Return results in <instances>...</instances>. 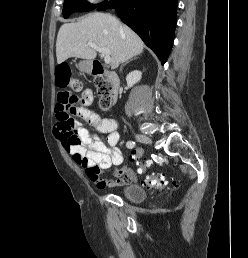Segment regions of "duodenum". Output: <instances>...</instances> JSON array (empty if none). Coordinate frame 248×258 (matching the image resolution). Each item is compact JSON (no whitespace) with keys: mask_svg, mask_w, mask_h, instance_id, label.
<instances>
[{"mask_svg":"<svg viewBox=\"0 0 248 258\" xmlns=\"http://www.w3.org/2000/svg\"><path fill=\"white\" fill-rule=\"evenodd\" d=\"M92 74L94 77L105 75L112 86L111 100L115 104L118 99L120 81L118 75L114 71H104L99 60H95L92 64Z\"/></svg>","mask_w":248,"mask_h":258,"instance_id":"410a0bca","label":"duodenum"}]
</instances>
